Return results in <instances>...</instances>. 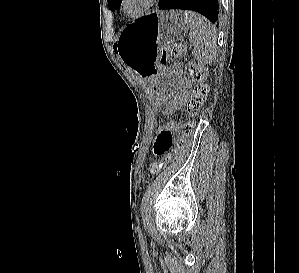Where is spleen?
Listing matches in <instances>:
<instances>
[{
	"instance_id": "1",
	"label": "spleen",
	"mask_w": 299,
	"mask_h": 273,
	"mask_svg": "<svg viewBox=\"0 0 299 273\" xmlns=\"http://www.w3.org/2000/svg\"><path fill=\"white\" fill-rule=\"evenodd\" d=\"M181 13L189 29L194 59L202 65L212 63L217 52L216 28L198 13L192 11H182Z\"/></svg>"
}]
</instances>
